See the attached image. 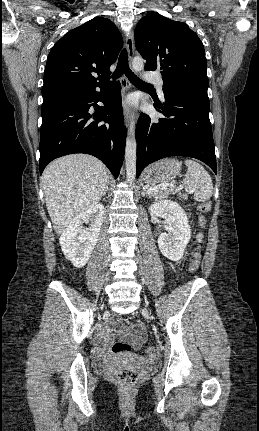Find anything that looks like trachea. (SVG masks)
I'll return each mask as SVG.
<instances>
[{"instance_id":"1","label":"trachea","mask_w":259,"mask_h":431,"mask_svg":"<svg viewBox=\"0 0 259 431\" xmlns=\"http://www.w3.org/2000/svg\"><path fill=\"white\" fill-rule=\"evenodd\" d=\"M125 74L128 79L133 83L137 85H149L148 83H145L141 79H139L129 68L128 65V53L126 49H123L118 60L117 68L115 72L113 73V78H118L122 74Z\"/></svg>"}]
</instances>
